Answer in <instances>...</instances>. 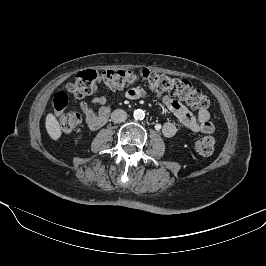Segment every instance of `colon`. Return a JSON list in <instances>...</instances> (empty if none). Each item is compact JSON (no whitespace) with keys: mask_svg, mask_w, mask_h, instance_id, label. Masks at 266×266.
I'll list each match as a JSON object with an SVG mask.
<instances>
[{"mask_svg":"<svg viewBox=\"0 0 266 266\" xmlns=\"http://www.w3.org/2000/svg\"><path fill=\"white\" fill-rule=\"evenodd\" d=\"M137 81H143L152 90L158 93H168L186 101L195 110H207L208 98L202 92L193 87L185 79L172 78L158 74L147 69L138 72L131 70H106L97 72L86 70L79 72L72 83H69L67 90L75 98H83L95 92L101 85L112 89L121 90L130 87ZM68 104V95L64 91L57 92L53 97V109L64 132L75 130L81 123V115L76 111L65 112ZM215 141L211 136H205L197 140L193 149L202 156H209L213 153Z\"/></svg>","mask_w":266,"mask_h":266,"instance_id":"1","label":"colon"}]
</instances>
